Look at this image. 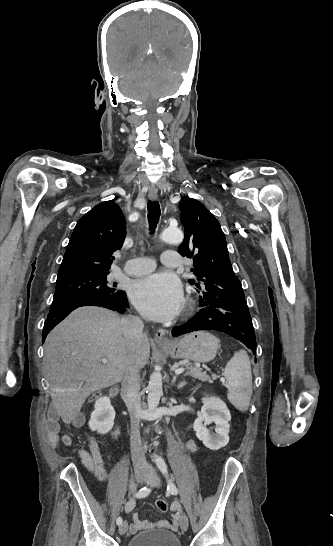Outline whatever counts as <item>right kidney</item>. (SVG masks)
I'll return each mask as SVG.
<instances>
[{"mask_svg": "<svg viewBox=\"0 0 333 546\" xmlns=\"http://www.w3.org/2000/svg\"><path fill=\"white\" fill-rule=\"evenodd\" d=\"M115 410L108 397L98 398L95 402V409L91 413L89 427L99 434H106L113 428Z\"/></svg>", "mask_w": 333, "mask_h": 546, "instance_id": "ca27d5eb", "label": "right kidney"}]
</instances>
